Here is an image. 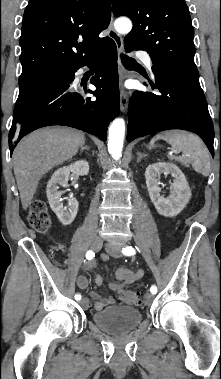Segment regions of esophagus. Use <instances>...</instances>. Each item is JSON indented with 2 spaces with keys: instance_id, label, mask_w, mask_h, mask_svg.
<instances>
[{
  "instance_id": "34e87169",
  "label": "esophagus",
  "mask_w": 221,
  "mask_h": 379,
  "mask_svg": "<svg viewBox=\"0 0 221 379\" xmlns=\"http://www.w3.org/2000/svg\"><path fill=\"white\" fill-rule=\"evenodd\" d=\"M108 36L113 39L119 52H123V39L120 34H118L113 26V18H111L110 24L108 26ZM125 74L121 70V80H124ZM128 108V91L124 88L120 91V110L122 113H125Z\"/></svg>"
}]
</instances>
